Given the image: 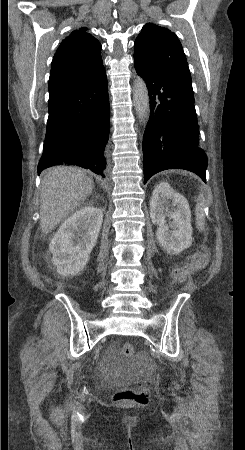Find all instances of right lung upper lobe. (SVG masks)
Segmentation results:
<instances>
[{
	"label": "right lung upper lobe",
	"mask_w": 245,
	"mask_h": 450,
	"mask_svg": "<svg viewBox=\"0 0 245 450\" xmlns=\"http://www.w3.org/2000/svg\"><path fill=\"white\" fill-rule=\"evenodd\" d=\"M86 28L72 32L57 49L49 78V103L91 79L104 68L101 44Z\"/></svg>",
	"instance_id": "right-lung-upper-lobe-1"
}]
</instances>
